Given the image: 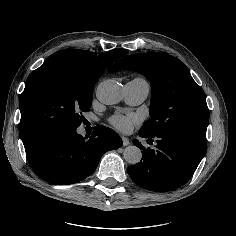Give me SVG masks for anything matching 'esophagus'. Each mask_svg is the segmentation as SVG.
<instances>
[{"label": "esophagus", "mask_w": 236, "mask_h": 236, "mask_svg": "<svg viewBox=\"0 0 236 236\" xmlns=\"http://www.w3.org/2000/svg\"><path fill=\"white\" fill-rule=\"evenodd\" d=\"M122 141H123V145L124 146H127L130 143V140L127 137H125V136H122Z\"/></svg>", "instance_id": "1"}]
</instances>
